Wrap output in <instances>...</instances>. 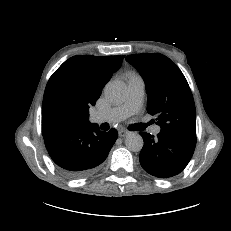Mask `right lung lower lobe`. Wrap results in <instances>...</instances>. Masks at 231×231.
I'll list each match as a JSON object with an SVG mask.
<instances>
[{"label": "right lung lower lobe", "mask_w": 231, "mask_h": 231, "mask_svg": "<svg viewBox=\"0 0 231 231\" xmlns=\"http://www.w3.org/2000/svg\"><path fill=\"white\" fill-rule=\"evenodd\" d=\"M43 137L50 157L61 172L71 178H82L101 167L118 133L115 129L103 132L97 124L88 123Z\"/></svg>", "instance_id": "98d812e1"}]
</instances>
